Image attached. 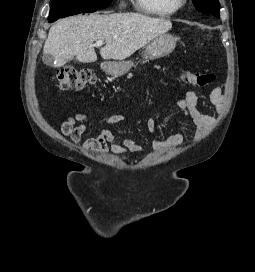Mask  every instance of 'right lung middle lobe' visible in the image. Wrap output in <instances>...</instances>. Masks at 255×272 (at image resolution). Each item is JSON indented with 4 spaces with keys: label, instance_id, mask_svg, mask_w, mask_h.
Instances as JSON below:
<instances>
[{
    "label": "right lung middle lobe",
    "instance_id": "obj_1",
    "mask_svg": "<svg viewBox=\"0 0 255 272\" xmlns=\"http://www.w3.org/2000/svg\"><path fill=\"white\" fill-rule=\"evenodd\" d=\"M111 2L112 0H53L48 19L53 22L71 15L92 13L108 7Z\"/></svg>",
    "mask_w": 255,
    "mask_h": 272
}]
</instances>
